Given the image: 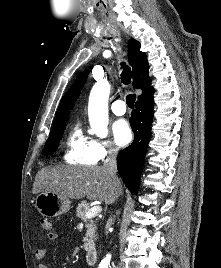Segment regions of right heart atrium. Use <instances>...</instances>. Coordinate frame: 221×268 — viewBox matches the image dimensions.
Here are the masks:
<instances>
[{"instance_id": "obj_1", "label": "right heart atrium", "mask_w": 221, "mask_h": 268, "mask_svg": "<svg viewBox=\"0 0 221 268\" xmlns=\"http://www.w3.org/2000/svg\"><path fill=\"white\" fill-rule=\"evenodd\" d=\"M93 151L97 162L116 154L117 149L107 139H93Z\"/></svg>"}]
</instances>
